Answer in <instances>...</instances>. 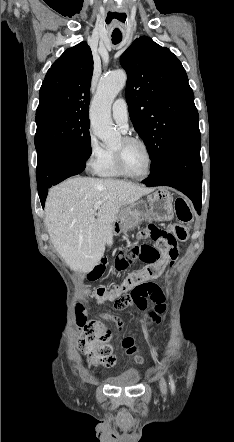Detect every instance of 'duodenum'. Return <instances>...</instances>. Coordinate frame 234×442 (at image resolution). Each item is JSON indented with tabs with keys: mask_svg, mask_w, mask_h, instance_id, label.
<instances>
[{
	"mask_svg": "<svg viewBox=\"0 0 234 442\" xmlns=\"http://www.w3.org/2000/svg\"><path fill=\"white\" fill-rule=\"evenodd\" d=\"M118 231H119V227L116 225V226L114 227L113 232H114V233H118Z\"/></svg>",
	"mask_w": 234,
	"mask_h": 442,
	"instance_id": "obj_1",
	"label": "duodenum"
}]
</instances>
